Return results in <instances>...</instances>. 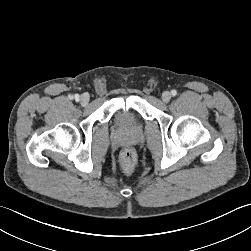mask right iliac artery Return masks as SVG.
<instances>
[{
	"label": "right iliac artery",
	"mask_w": 251,
	"mask_h": 251,
	"mask_svg": "<svg viewBox=\"0 0 251 251\" xmlns=\"http://www.w3.org/2000/svg\"><path fill=\"white\" fill-rule=\"evenodd\" d=\"M74 98H75V100H79V95L76 94V95L74 96Z\"/></svg>",
	"instance_id": "1"
}]
</instances>
